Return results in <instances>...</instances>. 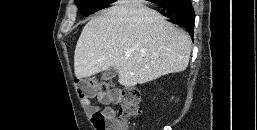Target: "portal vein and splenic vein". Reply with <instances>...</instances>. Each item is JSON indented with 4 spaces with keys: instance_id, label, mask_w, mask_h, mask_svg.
Segmentation results:
<instances>
[{
    "instance_id": "18ae733b",
    "label": "portal vein and splenic vein",
    "mask_w": 257,
    "mask_h": 130,
    "mask_svg": "<svg viewBox=\"0 0 257 130\" xmlns=\"http://www.w3.org/2000/svg\"><path fill=\"white\" fill-rule=\"evenodd\" d=\"M125 56H126V57H130V53H126Z\"/></svg>"
}]
</instances>
